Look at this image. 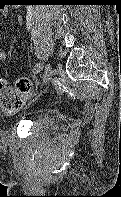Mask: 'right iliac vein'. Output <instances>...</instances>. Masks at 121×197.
Listing matches in <instances>:
<instances>
[{"label": "right iliac vein", "instance_id": "right-iliac-vein-1", "mask_svg": "<svg viewBox=\"0 0 121 197\" xmlns=\"http://www.w3.org/2000/svg\"><path fill=\"white\" fill-rule=\"evenodd\" d=\"M51 75H52L51 65L47 64L44 71L43 84H46L50 80Z\"/></svg>", "mask_w": 121, "mask_h": 197}]
</instances>
